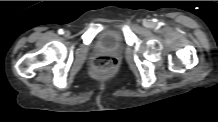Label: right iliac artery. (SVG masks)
<instances>
[{"label":"right iliac artery","mask_w":218,"mask_h":122,"mask_svg":"<svg viewBox=\"0 0 218 122\" xmlns=\"http://www.w3.org/2000/svg\"><path fill=\"white\" fill-rule=\"evenodd\" d=\"M58 33H59L60 35H62V34L64 33V30H63V29H59V30H58Z\"/></svg>","instance_id":"obj_1"}]
</instances>
